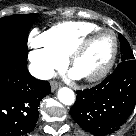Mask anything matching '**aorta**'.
I'll use <instances>...</instances> for the list:
<instances>
[{"instance_id":"1","label":"aorta","mask_w":136,"mask_h":136,"mask_svg":"<svg viewBox=\"0 0 136 136\" xmlns=\"http://www.w3.org/2000/svg\"><path fill=\"white\" fill-rule=\"evenodd\" d=\"M58 99L64 105H72L75 101V95L70 88L62 87L58 91Z\"/></svg>"}]
</instances>
